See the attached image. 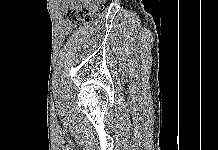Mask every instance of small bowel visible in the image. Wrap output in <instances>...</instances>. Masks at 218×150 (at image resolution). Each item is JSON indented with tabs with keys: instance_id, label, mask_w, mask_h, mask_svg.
Wrapping results in <instances>:
<instances>
[{
	"instance_id": "c3829d8e",
	"label": "small bowel",
	"mask_w": 218,
	"mask_h": 150,
	"mask_svg": "<svg viewBox=\"0 0 218 150\" xmlns=\"http://www.w3.org/2000/svg\"><path fill=\"white\" fill-rule=\"evenodd\" d=\"M65 7L73 9L77 6L88 7L96 3L102 2V0H63Z\"/></svg>"
}]
</instances>
